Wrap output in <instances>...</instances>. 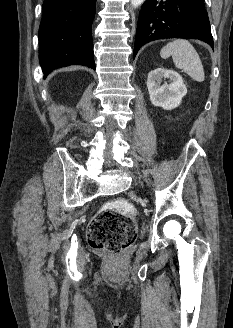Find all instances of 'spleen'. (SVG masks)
Returning <instances> with one entry per match:
<instances>
[{"label": "spleen", "instance_id": "spleen-1", "mask_svg": "<svg viewBox=\"0 0 233 328\" xmlns=\"http://www.w3.org/2000/svg\"><path fill=\"white\" fill-rule=\"evenodd\" d=\"M164 59L172 56L178 69L186 72L193 80L203 82L205 74L200 57L192 44L186 39H176L169 42L160 51Z\"/></svg>", "mask_w": 233, "mask_h": 328}]
</instances>
